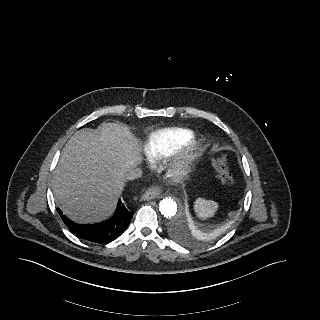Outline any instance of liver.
<instances>
[{
  "instance_id": "obj_1",
  "label": "liver",
  "mask_w": 320,
  "mask_h": 320,
  "mask_svg": "<svg viewBox=\"0 0 320 320\" xmlns=\"http://www.w3.org/2000/svg\"><path fill=\"white\" fill-rule=\"evenodd\" d=\"M140 161L128 128L103 123L97 133L83 129L71 137L54 171L53 194L61 211L77 223L107 218L125 185V173Z\"/></svg>"
}]
</instances>
